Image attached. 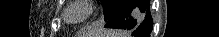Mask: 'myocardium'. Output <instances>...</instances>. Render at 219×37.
Segmentation results:
<instances>
[{
	"mask_svg": "<svg viewBox=\"0 0 219 37\" xmlns=\"http://www.w3.org/2000/svg\"><path fill=\"white\" fill-rule=\"evenodd\" d=\"M76 6H80L84 9V13L81 17L77 19H71L69 17V12L71 9H73ZM94 12V3L93 1H87V0H75L70 3V5L67 7L65 12V19L71 23V24H80L83 21L87 20Z\"/></svg>",
	"mask_w": 219,
	"mask_h": 37,
	"instance_id": "f54148a6",
	"label": "myocardium"
}]
</instances>
